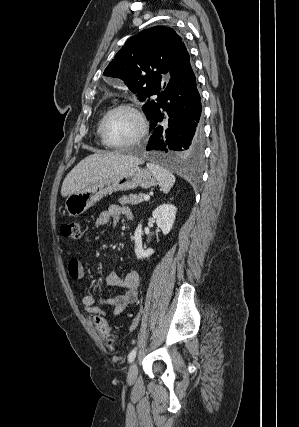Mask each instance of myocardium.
<instances>
[{"label": "myocardium", "mask_w": 299, "mask_h": 427, "mask_svg": "<svg viewBox=\"0 0 299 427\" xmlns=\"http://www.w3.org/2000/svg\"><path fill=\"white\" fill-rule=\"evenodd\" d=\"M119 110H126L129 111L130 113H132L137 121H138V125H139V129L137 134L134 136V138H132L130 141L126 142V143H122V144H112L110 142H108V140L106 139V135H105V125L107 120L109 119V117L116 111ZM148 130V123H147V119L144 115V113L140 110L139 107H137L135 104L132 103H120L118 105H115L114 107L110 108L102 117L101 122L99 124V138L102 142V144L108 148H112V149H126L129 148L135 144H137L138 142H140L146 135Z\"/></svg>", "instance_id": "obj_1"}]
</instances>
